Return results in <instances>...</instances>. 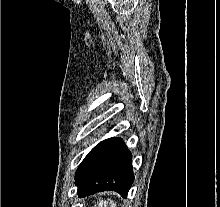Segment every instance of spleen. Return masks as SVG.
Segmentation results:
<instances>
[{"label": "spleen", "instance_id": "spleen-1", "mask_svg": "<svg viewBox=\"0 0 220 207\" xmlns=\"http://www.w3.org/2000/svg\"><path fill=\"white\" fill-rule=\"evenodd\" d=\"M107 204L110 207H116V203L111 199H108L107 201H103L99 199L98 207H103V205L106 207Z\"/></svg>", "mask_w": 220, "mask_h": 207}]
</instances>
